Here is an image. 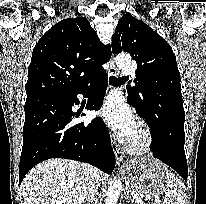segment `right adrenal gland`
<instances>
[{
  "mask_svg": "<svg viewBox=\"0 0 206 204\" xmlns=\"http://www.w3.org/2000/svg\"><path fill=\"white\" fill-rule=\"evenodd\" d=\"M86 201H88V204H90V202L92 201V199H91L90 197H88V198H86ZM86 201H84L83 204H85Z\"/></svg>",
  "mask_w": 206,
  "mask_h": 204,
  "instance_id": "2a0ac1e0",
  "label": "right adrenal gland"
}]
</instances>
